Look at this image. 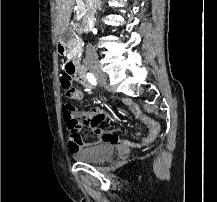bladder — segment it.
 Here are the masks:
<instances>
[{
    "label": "bladder",
    "mask_w": 217,
    "mask_h": 202,
    "mask_svg": "<svg viewBox=\"0 0 217 202\" xmlns=\"http://www.w3.org/2000/svg\"><path fill=\"white\" fill-rule=\"evenodd\" d=\"M114 152L112 143H100L87 148L75 155L80 161L98 162L105 158H111Z\"/></svg>",
    "instance_id": "31cf9c89"
}]
</instances>
